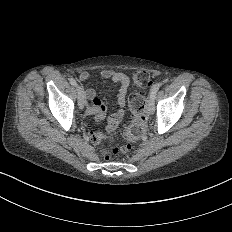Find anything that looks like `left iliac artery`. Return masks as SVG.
Here are the masks:
<instances>
[{"instance_id": "left-iliac-artery-1", "label": "left iliac artery", "mask_w": 232, "mask_h": 232, "mask_svg": "<svg viewBox=\"0 0 232 232\" xmlns=\"http://www.w3.org/2000/svg\"><path fill=\"white\" fill-rule=\"evenodd\" d=\"M161 86H162V83H157L153 85L150 91V95L153 97Z\"/></svg>"}]
</instances>
